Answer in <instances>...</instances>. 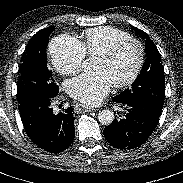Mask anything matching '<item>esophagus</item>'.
Returning a JSON list of instances; mask_svg holds the SVG:
<instances>
[{
  "mask_svg": "<svg viewBox=\"0 0 183 183\" xmlns=\"http://www.w3.org/2000/svg\"><path fill=\"white\" fill-rule=\"evenodd\" d=\"M94 110H95L94 108L86 107V106H83V105H80V104H77L75 106V111L76 112H91V111H94Z\"/></svg>",
  "mask_w": 183,
  "mask_h": 183,
  "instance_id": "34e87169",
  "label": "esophagus"
}]
</instances>
